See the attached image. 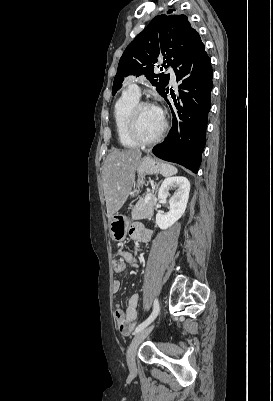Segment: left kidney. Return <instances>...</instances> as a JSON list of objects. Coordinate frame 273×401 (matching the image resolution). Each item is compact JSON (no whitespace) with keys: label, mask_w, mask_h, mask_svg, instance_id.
I'll use <instances>...</instances> for the list:
<instances>
[{"label":"left kidney","mask_w":273,"mask_h":401,"mask_svg":"<svg viewBox=\"0 0 273 401\" xmlns=\"http://www.w3.org/2000/svg\"><path fill=\"white\" fill-rule=\"evenodd\" d=\"M177 186V192L170 196V188ZM190 192V182L186 176H169L163 180L158 196L159 198H169V213H157L156 225L160 229H169L185 213Z\"/></svg>","instance_id":"1"}]
</instances>
